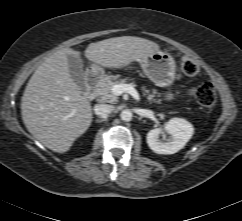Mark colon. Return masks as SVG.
Wrapping results in <instances>:
<instances>
[{
    "label": "colon",
    "instance_id": "1",
    "mask_svg": "<svg viewBox=\"0 0 242 221\" xmlns=\"http://www.w3.org/2000/svg\"><path fill=\"white\" fill-rule=\"evenodd\" d=\"M181 69L189 77L197 76L199 73L198 64L188 57L182 59ZM196 100L202 107H212L216 101V89L214 85L211 82L202 83L197 90Z\"/></svg>",
    "mask_w": 242,
    "mask_h": 221
}]
</instances>
